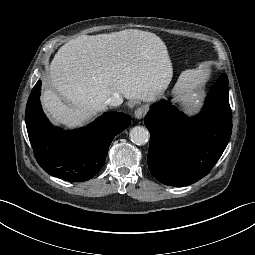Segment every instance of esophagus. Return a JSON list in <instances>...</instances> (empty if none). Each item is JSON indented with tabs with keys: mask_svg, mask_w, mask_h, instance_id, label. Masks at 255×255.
Masks as SVG:
<instances>
[{
	"mask_svg": "<svg viewBox=\"0 0 255 255\" xmlns=\"http://www.w3.org/2000/svg\"><path fill=\"white\" fill-rule=\"evenodd\" d=\"M145 114H146V108L139 107L135 110L134 116L136 119H142L144 118Z\"/></svg>",
	"mask_w": 255,
	"mask_h": 255,
	"instance_id": "obj_1",
	"label": "esophagus"
}]
</instances>
